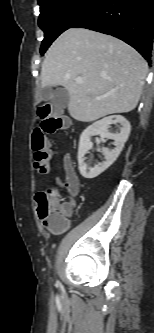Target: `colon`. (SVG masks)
<instances>
[{
    "label": "colon",
    "mask_w": 154,
    "mask_h": 333,
    "mask_svg": "<svg viewBox=\"0 0 154 333\" xmlns=\"http://www.w3.org/2000/svg\"><path fill=\"white\" fill-rule=\"evenodd\" d=\"M40 124L33 130L31 145L34 151V167L45 174L50 166V144L47 135L68 129L69 121L64 116L53 113L47 107L38 108ZM37 214L45 228L51 232H60L68 225L67 211L59 200L57 191L49 188L35 196Z\"/></svg>",
    "instance_id": "5ec220e1"
}]
</instances>
